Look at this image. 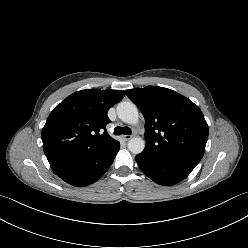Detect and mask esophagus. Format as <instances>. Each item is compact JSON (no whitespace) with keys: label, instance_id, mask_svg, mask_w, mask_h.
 <instances>
[{"label":"esophagus","instance_id":"obj_1","mask_svg":"<svg viewBox=\"0 0 248 248\" xmlns=\"http://www.w3.org/2000/svg\"><path fill=\"white\" fill-rule=\"evenodd\" d=\"M122 138H123L125 141H129V140L132 138V135H124V136H122Z\"/></svg>","mask_w":248,"mask_h":248}]
</instances>
